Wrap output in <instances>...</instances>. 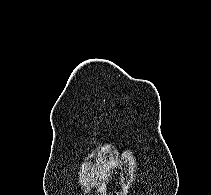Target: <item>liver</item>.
<instances>
[{
  "label": "liver",
  "mask_w": 211,
  "mask_h": 195,
  "mask_svg": "<svg viewBox=\"0 0 211 195\" xmlns=\"http://www.w3.org/2000/svg\"><path fill=\"white\" fill-rule=\"evenodd\" d=\"M98 193L106 195V184L105 182L102 183V185L98 188Z\"/></svg>",
  "instance_id": "1"
}]
</instances>
